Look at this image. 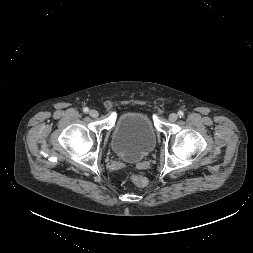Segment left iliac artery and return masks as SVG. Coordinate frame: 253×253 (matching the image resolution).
<instances>
[{
  "label": "left iliac artery",
  "instance_id": "obj_1",
  "mask_svg": "<svg viewBox=\"0 0 253 253\" xmlns=\"http://www.w3.org/2000/svg\"><path fill=\"white\" fill-rule=\"evenodd\" d=\"M179 117H182L184 115L183 111L178 112Z\"/></svg>",
  "mask_w": 253,
  "mask_h": 253
}]
</instances>
